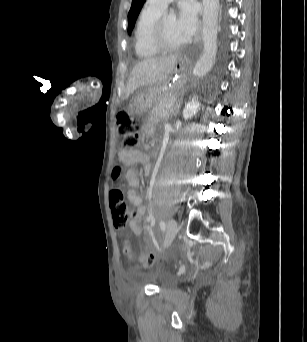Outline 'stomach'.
I'll return each instance as SVG.
<instances>
[{
  "label": "stomach",
  "mask_w": 307,
  "mask_h": 342,
  "mask_svg": "<svg viewBox=\"0 0 307 342\" xmlns=\"http://www.w3.org/2000/svg\"><path fill=\"white\" fill-rule=\"evenodd\" d=\"M190 61L179 57L168 78L159 86L149 87L137 92L129 102V111L132 114L144 113L154 107L156 102L164 95H179L187 80Z\"/></svg>",
  "instance_id": "stomach-1"
}]
</instances>
